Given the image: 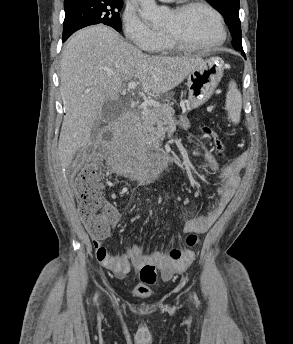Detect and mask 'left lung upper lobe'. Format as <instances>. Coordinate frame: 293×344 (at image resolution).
<instances>
[{
	"label": "left lung upper lobe",
	"mask_w": 293,
	"mask_h": 344,
	"mask_svg": "<svg viewBox=\"0 0 293 344\" xmlns=\"http://www.w3.org/2000/svg\"><path fill=\"white\" fill-rule=\"evenodd\" d=\"M210 5L216 8L225 18L228 25L233 45L236 50L243 51L242 32L239 19V0H206Z\"/></svg>",
	"instance_id": "left-lung-upper-lobe-1"
}]
</instances>
